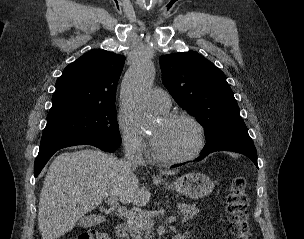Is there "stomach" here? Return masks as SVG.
Listing matches in <instances>:
<instances>
[{
    "label": "stomach",
    "instance_id": "stomach-1",
    "mask_svg": "<svg viewBox=\"0 0 304 239\" xmlns=\"http://www.w3.org/2000/svg\"><path fill=\"white\" fill-rule=\"evenodd\" d=\"M168 189H174L178 193L192 199L204 198L214 189V182L205 174L191 172L185 174L171 185H166Z\"/></svg>",
    "mask_w": 304,
    "mask_h": 239
}]
</instances>
